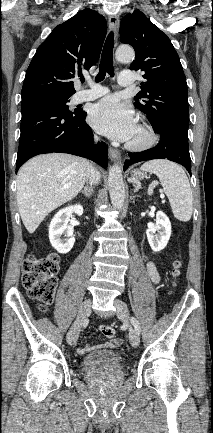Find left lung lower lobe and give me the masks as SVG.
<instances>
[{
	"label": "left lung lower lobe",
	"instance_id": "0a47b994",
	"mask_svg": "<svg viewBox=\"0 0 213 433\" xmlns=\"http://www.w3.org/2000/svg\"><path fill=\"white\" fill-rule=\"evenodd\" d=\"M157 132L160 133V142L157 146L137 153H128L124 170L130 164L151 159H168L183 165L191 175V158L188 147V129L173 123L162 125Z\"/></svg>",
	"mask_w": 213,
	"mask_h": 433
}]
</instances>
